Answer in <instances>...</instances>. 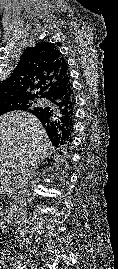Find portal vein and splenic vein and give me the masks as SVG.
Wrapping results in <instances>:
<instances>
[{"label":"portal vein and splenic vein","instance_id":"portal-vein-and-splenic-vein-1","mask_svg":"<svg viewBox=\"0 0 118 269\" xmlns=\"http://www.w3.org/2000/svg\"><path fill=\"white\" fill-rule=\"evenodd\" d=\"M1 172L6 173V172H8V170L7 169H3Z\"/></svg>","mask_w":118,"mask_h":269}]
</instances>
